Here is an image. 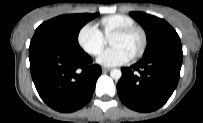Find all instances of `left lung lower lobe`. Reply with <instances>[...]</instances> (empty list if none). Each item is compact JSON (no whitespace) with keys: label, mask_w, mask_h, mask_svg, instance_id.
I'll list each match as a JSON object with an SVG mask.
<instances>
[{"label":"left lung lower lobe","mask_w":203,"mask_h":123,"mask_svg":"<svg viewBox=\"0 0 203 123\" xmlns=\"http://www.w3.org/2000/svg\"><path fill=\"white\" fill-rule=\"evenodd\" d=\"M182 60V47H172L122 68L117 84L121 101L139 112H150L163 106L178 84Z\"/></svg>","instance_id":"left-lung-lower-lobe-1"}]
</instances>
